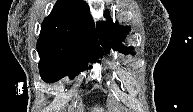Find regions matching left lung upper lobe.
I'll list each match as a JSON object with an SVG mask.
<instances>
[{
	"label": "left lung upper lobe",
	"mask_w": 193,
	"mask_h": 112,
	"mask_svg": "<svg viewBox=\"0 0 193 112\" xmlns=\"http://www.w3.org/2000/svg\"><path fill=\"white\" fill-rule=\"evenodd\" d=\"M104 17H109V10L104 12ZM129 31V26H120L118 22L113 23L111 19L98 24V36L100 43L105 49H107V53H109L111 48L123 54L131 53L134 48L122 46L121 43Z\"/></svg>",
	"instance_id": "1"
}]
</instances>
